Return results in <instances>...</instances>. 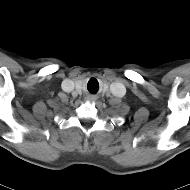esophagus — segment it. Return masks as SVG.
I'll use <instances>...</instances> for the list:
<instances>
[{
	"mask_svg": "<svg viewBox=\"0 0 190 190\" xmlns=\"http://www.w3.org/2000/svg\"><path fill=\"white\" fill-rule=\"evenodd\" d=\"M94 99H95V97L93 95L88 96V100H94Z\"/></svg>",
	"mask_w": 190,
	"mask_h": 190,
	"instance_id": "obj_1",
	"label": "esophagus"
}]
</instances>
